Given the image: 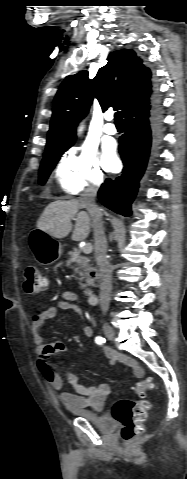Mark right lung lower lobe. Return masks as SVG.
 <instances>
[{"label": "right lung lower lobe", "mask_w": 187, "mask_h": 479, "mask_svg": "<svg viewBox=\"0 0 187 479\" xmlns=\"http://www.w3.org/2000/svg\"><path fill=\"white\" fill-rule=\"evenodd\" d=\"M125 120L126 133L119 139V152L124 164L122 175L115 180L106 179L98 197L114 212L130 216L139 182L162 134L163 116L158 95L147 106L128 112Z\"/></svg>", "instance_id": "right-lung-lower-lobe-1"}]
</instances>
